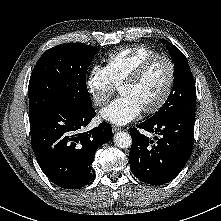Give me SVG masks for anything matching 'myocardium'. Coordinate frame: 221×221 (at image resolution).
<instances>
[{"label":"myocardium","instance_id":"f54148a6","mask_svg":"<svg viewBox=\"0 0 221 221\" xmlns=\"http://www.w3.org/2000/svg\"><path fill=\"white\" fill-rule=\"evenodd\" d=\"M157 60H162V61L166 62V64L168 65V67H169V81H168V84H167L164 94L157 101V103L151 107L143 109V112L146 114H154V113H157L158 111H160L165 106V104L168 102V100L172 94L175 79H176V68H175V64L172 61V59L166 55H161V54H156L154 56L148 57L140 65H138L136 67V69L131 73V75L127 79H125L119 87V89H120L123 86L134 85L135 83H137L144 76V74L147 71V69L149 68V66Z\"/></svg>","mask_w":221,"mask_h":221}]
</instances>
